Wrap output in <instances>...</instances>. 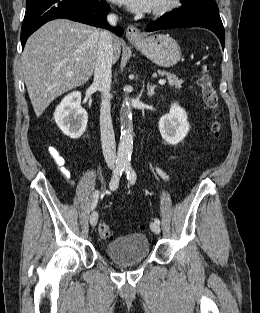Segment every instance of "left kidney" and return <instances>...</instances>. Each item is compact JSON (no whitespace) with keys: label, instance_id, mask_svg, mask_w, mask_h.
Masks as SVG:
<instances>
[{"label":"left kidney","instance_id":"obj_1","mask_svg":"<svg viewBox=\"0 0 260 313\" xmlns=\"http://www.w3.org/2000/svg\"><path fill=\"white\" fill-rule=\"evenodd\" d=\"M159 130L168 144L176 145L181 142L190 130L185 110L177 103L172 104L169 113L160 118Z\"/></svg>","mask_w":260,"mask_h":313}]
</instances>
